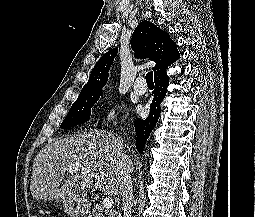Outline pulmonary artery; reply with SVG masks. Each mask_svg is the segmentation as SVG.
I'll list each match as a JSON object with an SVG mask.
<instances>
[{
	"instance_id": "1",
	"label": "pulmonary artery",
	"mask_w": 255,
	"mask_h": 217,
	"mask_svg": "<svg viewBox=\"0 0 255 217\" xmlns=\"http://www.w3.org/2000/svg\"><path fill=\"white\" fill-rule=\"evenodd\" d=\"M143 82H144V77L139 76L134 83L133 89L137 95H144L147 91L146 86H142Z\"/></svg>"
}]
</instances>
